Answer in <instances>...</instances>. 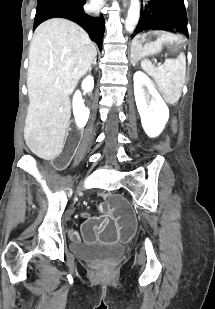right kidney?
<instances>
[{
	"label": "right kidney",
	"mask_w": 215,
	"mask_h": 309,
	"mask_svg": "<svg viewBox=\"0 0 215 309\" xmlns=\"http://www.w3.org/2000/svg\"><path fill=\"white\" fill-rule=\"evenodd\" d=\"M82 88H84V90H93V88H94V78H93V76H91V74H89V76H86V78H84V80H82ZM75 100H76V102L79 106V116H78V118L75 114V110H73V112L75 114L76 124H78V126H80V128H82V126H85V124H86V122L89 118L90 110H89V108H86V106L84 104V100H82V94H81L80 90H76V92L73 96V108H74Z\"/></svg>",
	"instance_id": "ca27d5eb"
}]
</instances>
